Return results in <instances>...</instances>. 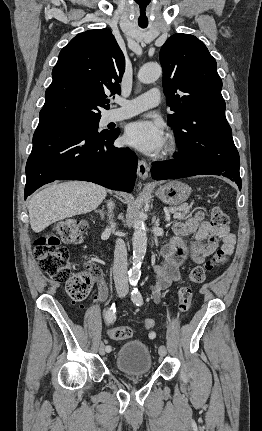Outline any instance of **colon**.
Wrapping results in <instances>:
<instances>
[{
  "label": "colon",
  "instance_id": "5ec220e1",
  "mask_svg": "<svg viewBox=\"0 0 262 431\" xmlns=\"http://www.w3.org/2000/svg\"><path fill=\"white\" fill-rule=\"evenodd\" d=\"M210 223L213 227L226 226L228 217L220 208H213L210 212ZM81 232L82 225L79 222L67 220L58 223L53 232L39 236L34 243V256L44 274L53 281L65 283L68 295L75 302L87 298L93 285V276L97 273L89 260L82 263L88 268V271L72 272L71 270L70 257L63 244L79 243ZM225 261L226 254L221 250L213 260L191 270L189 284L182 285L178 290V307L181 312L186 313L190 310L193 295L191 285L203 283L207 274L216 265ZM154 326L155 321L152 318L144 321L145 329L151 330ZM108 334L112 340L121 341L130 338L133 330L129 326H118L111 328Z\"/></svg>",
  "mask_w": 262,
  "mask_h": 431
}]
</instances>
